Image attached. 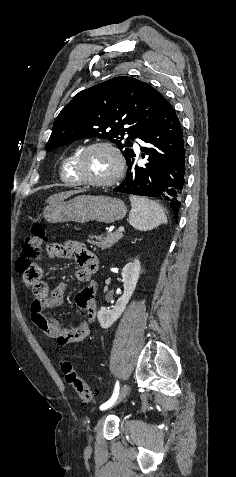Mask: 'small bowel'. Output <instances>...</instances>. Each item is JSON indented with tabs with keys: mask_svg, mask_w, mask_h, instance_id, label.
<instances>
[{
	"mask_svg": "<svg viewBox=\"0 0 236 477\" xmlns=\"http://www.w3.org/2000/svg\"><path fill=\"white\" fill-rule=\"evenodd\" d=\"M48 254L53 258L71 259L77 265L75 277L79 282L86 283L75 296V304L79 311L86 315L87 319L81 318L76 326L61 324L53 316L45 312V309L59 306L64 301L67 285L60 282L50 290L49 285L41 282V289L34 294L30 304L31 319L34 325L43 334L55 339L60 345L67 346L84 341L92 331V321L95 317L96 305L95 294L97 285L93 281V275L97 270L98 259L79 241L69 240L63 244L51 243L48 245Z\"/></svg>",
	"mask_w": 236,
	"mask_h": 477,
	"instance_id": "c3829d8e",
	"label": "small bowel"
}]
</instances>
